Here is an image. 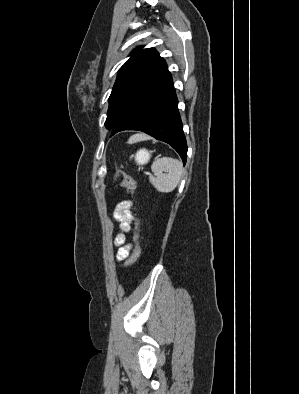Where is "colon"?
<instances>
[{
	"label": "colon",
	"mask_w": 299,
	"mask_h": 394,
	"mask_svg": "<svg viewBox=\"0 0 299 394\" xmlns=\"http://www.w3.org/2000/svg\"><path fill=\"white\" fill-rule=\"evenodd\" d=\"M119 180V185L127 190L129 194H133L136 189V181L134 178L128 175H122V176H117ZM139 221L138 219L135 220V232L133 236L134 240V246L131 252V255L129 256L126 267L132 266L139 258L140 255V246L138 243L139 240Z\"/></svg>",
	"instance_id": "obj_1"
}]
</instances>
